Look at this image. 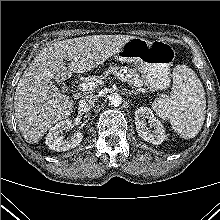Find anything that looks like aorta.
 Segmentation results:
<instances>
[{
  "instance_id": "1",
  "label": "aorta",
  "mask_w": 220,
  "mask_h": 220,
  "mask_svg": "<svg viewBox=\"0 0 220 220\" xmlns=\"http://www.w3.org/2000/svg\"><path fill=\"white\" fill-rule=\"evenodd\" d=\"M110 103L111 105L118 107L122 103V97L119 94H113L110 96Z\"/></svg>"
}]
</instances>
